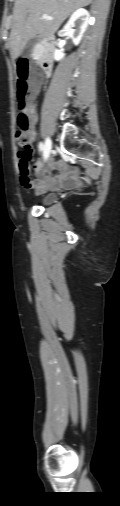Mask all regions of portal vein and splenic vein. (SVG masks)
I'll list each match as a JSON object with an SVG mask.
<instances>
[{
	"label": "portal vein and splenic vein",
	"instance_id": "obj_1",
	"mask_svg": "<svg viewBox=\"0 0 120 506\" xmlns=\"http://www.w3.org/2000/svg\"><path fill=\"white\" fill-rule=\"evenodd\" d=\"M42 19L44 20H52L53 18L48 15H42Z\"/></svg>",
	"mask_w": 120,
	"mask_h": 506
}]
</instances>
